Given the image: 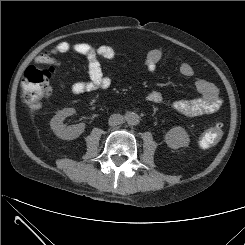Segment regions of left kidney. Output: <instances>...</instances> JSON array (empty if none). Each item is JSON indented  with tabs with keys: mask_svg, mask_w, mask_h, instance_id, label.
<instances>
[{
	"mask_svg": "<svg viewBox=\"0 0 245 245\" xmlns=\"http://www.w3.org/2000/svg\"><path fill=\"white\" fill-rule=\"evenodd\" d=\"M165 140L167 145L173 149L188 146L190 143L189 135L181 126L170 129L165 135Z\"/></svg>",
	"mask_w": 245,
	"mask_h": 245,
	"instance_id": "left-kidney-1",
	"label": "left kidney"
}]
</instances>
